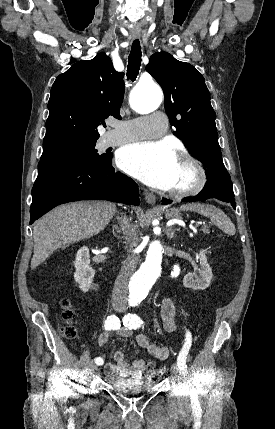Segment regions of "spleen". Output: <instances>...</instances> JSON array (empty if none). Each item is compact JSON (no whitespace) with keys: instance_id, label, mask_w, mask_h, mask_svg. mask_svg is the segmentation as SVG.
Returning <instances> with one entry per match:
<instances>
[{"instance_id":"1","label":"spleen","mask_w":275,"mask_h":429,"mask_svg":"<svg viewBox=\"0 0 275 429\" xmlns=\"http://www.w3.org/2000/svg\"><path fill=\"white\" fill-rule=\"evenodd\" d=\"M180 209L183 211L197 212L204 217L210 218L214 225L228 235H234L236 233L232 221L222 210L213 205L194 203L182 205Z\"/></svg>"}]
</instances>
